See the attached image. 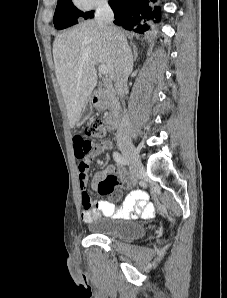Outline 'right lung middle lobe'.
<instances>
[{
  "instance_id": "dd1d6c3e",
  "label": "right lung middle lobe",
  "mask_w": 227,
  "mask_h": 298,
  "mask_svg": "<svg viewBox=\"0 0 227 298\" xmlns=\"http://www.w3.org/2000/svg\"><path fill=\"white\" fill-rule=\"evenodd\" d=\"M93 12L83 13L78 10L71 0H58L54 14V25L57 29H64L78 23L80 17L87 19Z\"/></svg>"
}]
</instances>
